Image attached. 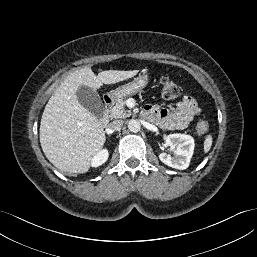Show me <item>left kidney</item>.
Returning a JSON list of instances; mask_svg holds the SVG:
<instances>
[{"mask_svg": "<svg viewBox=\"0 0 257 257\" xmlns=\"http://www.w3.org/2000/svg\"><path fill=\"white\" fill-rule=\"evenodd\" d=\"M165 144L174 150L176 156L161 153L159 155L161 162L179 170L188 168L195 146L193 137L180 133L170 134L166 137Z\"/></svg>", "mask_w": 257, "mask_h": 257, "instance_id": "left-kidney-1", "label": "left kidney"}]
</instances>
